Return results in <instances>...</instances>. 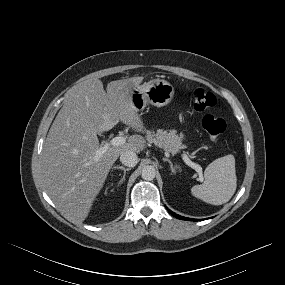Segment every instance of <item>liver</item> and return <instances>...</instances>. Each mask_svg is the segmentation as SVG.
<instances>
[{"label": "liver", "mask_w": 285, "mask_h": 285, "mask_svg": "<svg viewBox=\"0 0 285 285\" xmlns=\"http://www.w3.org/2000/svg\"><path fill=\"white\" fill-rule=\"evenodd\" d=\"M142 80L143 77H132L112 81L105 92L101 80L88 79L69 90L48 132L41 157L46 192L66 219L82 223L121 153L144 149L145 139L132 135L125 144L110 146L95 161L97 134L112 129L119 121L143 132V121L131 100L132 90Z\"/></svg>", "instance_id": "1"}]
</instances>
